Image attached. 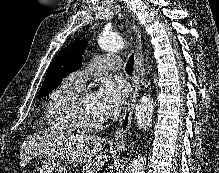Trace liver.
Instances as JSON below:
<instances>
[{
    "instance_id": "liver-1",
    "label": "liver",
    "mask_w": 219,
    "mask_h": 173,
    "mask_svg": "<svg viewBox=\"0 0 219 173\" xmlns=\"http://www.w3.org/2000/svg\"><path fill=\"white\" fill-rule=\"evenodd\" d=\"M104 138L95 135H69L56 138L47 132H37L21 146L20 166L24 167L34 156L65 158L70 163L84 164L83 171L98 173L103 169L105 156L98 153Z\"/></svg>"
}]
</instances>
